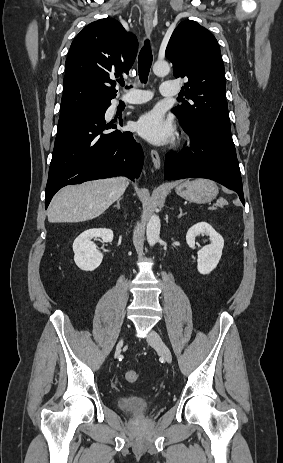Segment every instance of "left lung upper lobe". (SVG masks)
<instances>
[{
  "label": "left lung upper lobe",
  "mask_w": 283,
  "mask_h": 463,
  "mask_svg": "<svg viewBox=\"0 0 283 463\" xmlns=\"http://www.w3.org/2000/svg\"><path fill=\"white\" fill-rule=\"evenodd\" d=\"M176 78H185L182 91L193 103L172 109L182 126L208 125L231 133L225 99V73L216 38L192 20L181 22L165 52Z\"/></svg>",
  "instance_id": "1"
}]
</instances>
